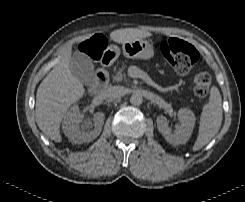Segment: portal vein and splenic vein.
<instances>
[{"instance_id":"1","label":"portal vein and splenic vein","mask_w":245,"mask_h":202,"mask_svg":"<svg viewBox=\"0 0 245 202\" xmlns=\"http://www.w3.org/2000/svg\"><path fill=\"white\" fill-rule=\"evenodd\" d=\"M130 76L132 78H142L148 82H151V79L148 77V75L142 70L138 69L136 66L130 67Z\"/></svg>"}]
</instances>
